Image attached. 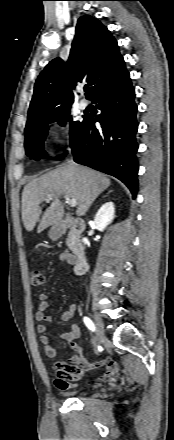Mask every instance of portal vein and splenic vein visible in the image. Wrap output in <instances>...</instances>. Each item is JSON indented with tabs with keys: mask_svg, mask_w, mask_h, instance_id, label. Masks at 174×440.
Listing matches in <instances>:
<instances>
[{
	"mask_svg": "<svg viewBox=\"0 0 174 440\" xmlns=\"http://www.w3.org/2000/svg\"><path fill=\"white\" fill-rule=\"evenodd\" d=\"M66 203H68L71 207H76L77 201L75 199H70L68 196L64 195ZM51 197H48L47 201H50Z\"/></svg>",
	"mask_w": 174,
	"mask_h": 440,
	"instance_id": "portal-vein-and-splenic-vein-1",
	"label": "portal vein and splenic vein"
}]
</instances>
